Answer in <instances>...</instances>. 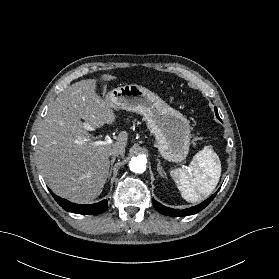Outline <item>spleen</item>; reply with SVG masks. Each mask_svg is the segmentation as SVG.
<instances>
[{
	"mask_svg": "<svg viewBox=\"0 0 279 279\" xmlns=\"http://www.w3.org/2000/svg\"><path fill=\"white\" fill-rule=\"evenodd\" d=\"M170 173L182 197L188 202H197L211 194L217 186L221 163L212 148L205 146L195 154L188 167Z\"/></svg>",
	"mask_w": 279,
	"mask_h": 279,
	"instance_id": "obj_1",
	"label": "spleen"
}]
</instances>
